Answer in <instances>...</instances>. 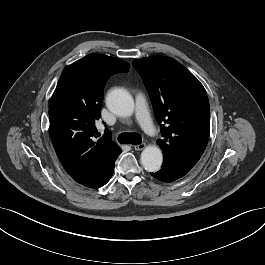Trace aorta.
Returning <instances> with one entry per match:
<instances>
[{
    "instance_id": "1",
    "label": "aorta",
    "mask_w": 265,
    "mask_h": 265,
    "mask_svg": "<svg viewBox=\"0 0 265 265\" xmlns=\"http://www.w3.org/2000/svg\"><path fill=\"white\" fill-rule=\"evenodd\" d=\"M108 109L117 116H130L134 111V100L130 93L123 88H114L106 97ZM163 156L160 148L148 146L141 153V164L148 172H157L162 165Z\"/></svg>"
}]
</instances>
